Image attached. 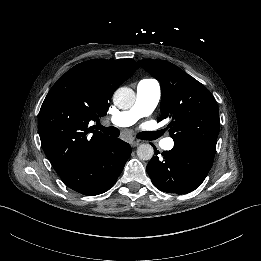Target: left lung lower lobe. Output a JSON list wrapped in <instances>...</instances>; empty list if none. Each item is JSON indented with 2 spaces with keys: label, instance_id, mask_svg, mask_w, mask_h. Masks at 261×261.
<instances>
[{
  "label": "left lung lower lobe",
  "instance_id": "1",
  "mask_svg": "<svg viewBox=\"0 0 261 261\" xmlns=\"http://www.w3.org/2000/svg\"><path fill=\"white\" fill-rule=\"evenodd\" d=\"M153 157L147 172L153 184L167 193L186 194L195 190L212 167L215 149L197 142L174 143L163 158Z\"/></svg>",
  "mask_w": 261,
  "mask_h": 261
}]
</instances>
